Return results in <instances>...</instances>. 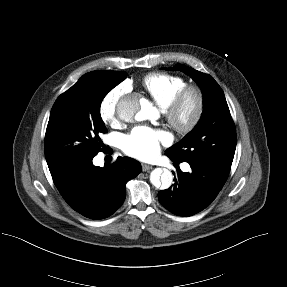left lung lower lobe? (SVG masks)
Returning <instances> with one entry per match:
<instances>
[{
    "label": "left lung lower lobe",
    "instance_id": "left-lung-lower-lobe-1",
    "mask_svg": "<svg viewBox=\"0 0 287 287\" xmlns=\"http://www.w3.org/2000/svg\"><path fill=\"white\" fill-rule=\"evenodd\" d=\"M187 162L192 171L184 173L178 169L177 174L173 172L175 181L173 186L158 193L160 203L179 216H191L209 206L229 175L199 161Z\"/></svg>",
    "mask_w": 287,
    "mask_h": 287
}]
</instances>
